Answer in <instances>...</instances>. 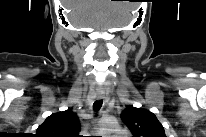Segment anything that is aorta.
<instances>
[{"label":"aorta","mask_w":206,"mask_h":137,"mask_svg":"<svg viewBox=\"0 0 206 137\" xmlns=\"http://www.w3.org/2000/svg\"><path fill=\"white\" fill-rule=\"evenodd\" d=\"M106 130L109 133H120V130H119V127L117 124H113L111 126H108Z\"/></svg>","instance_id":"762f6f07"}]
</instances>
